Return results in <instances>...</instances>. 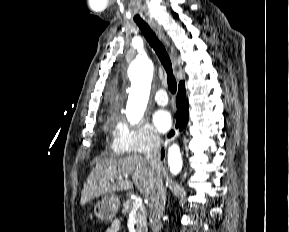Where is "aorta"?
I'll use <instances>...</instances> for the list:
<instances>
[{
    "label": "aorta",
    "mask_w": 289,
    "mask_h": 232,
    "mask_svg": "<svg viewBox=\"0 0 289 232\" xmlns=\"http://www.w3.org/2000/svg\"><path fill=\"white\" fill-rule=\"evenodd\" d=\"M131 92L127 104V117L132 124L138 123L145 112L153 76V64L147 57H137L130 65ZM168 166L173 175L182 169V156L177 144L168 150Z\"/></svg>",
    "instance_id": "obj_1"
}]
</instances>
